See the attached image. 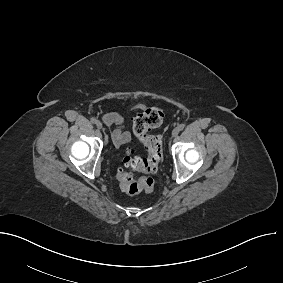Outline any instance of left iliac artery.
<instances>
[{
	"label": "left iliac artery",
	"mask_w": 283,
	"mask_h": 283,
	"mask_svg": "<svg viewBox=\"0 0 283 283\" xmlns=\"http://www.w3.org/2000/svg\"><path fill=\"white\" fill-rule=\"evenodd\" d=\"M185 128V124H180L179 126H178V129L181 131V130H183Z\"/></svg>",
	"instance_id": "44dca946"
}]
</instances>
